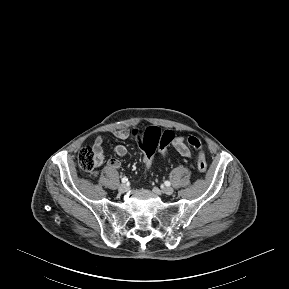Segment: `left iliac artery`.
<instances>
[{"label": "left iliac artery", "instance_id": "1", "mask_svg": "<svg viewBox=\"0 0 289 289\" xmlns=\"http://www.w3.org/2000/svg\"><path fill=\"white\" fill-rule=\"evenodd\" d=\"M164 184H165L166 186H170V185H171V183H170L169 181H165Z\"/></svg>", "mask_w": 289, "mask_h": 289}]
</instances>
